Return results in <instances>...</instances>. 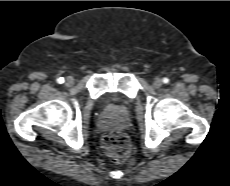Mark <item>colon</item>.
<instances>
[{
	"label": "colon",
	"mask_w": 230,
	"mask_h": 186,
	"mask_svg": "<svg viewBox=\"0 0 230 186\" xmlns=\"http://www.w3.org/2000/svg\"><path fill=\"white\" fill-rule=\"evenodd\" d=\"M102 146L109 158L116 162L125 161L130 155V142L123 132H108L102 139Z\"/></svg>",
	"instance_id": "colon-1"
}]
</instances>
